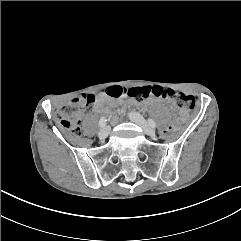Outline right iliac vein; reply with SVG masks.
I'll return each mask as SVG.
<instances>
[{
    "label": "right iliac vein",
    "instance_id": "obj_1",
    "mask_svg": "<svg viewBox=\"0 0 241 241\" xmlns=\"http://www.w3.org/2000/svg\"><path fill=\"white\" fill-rule=\"evenodd\" d=\"M110 133V128L108 126L104 127L103 129L100 130L99 132V137L100 138H106Z\"/></svg>",
    "mask_w": 241,
    "mask_h": 241
}]
</instances>
